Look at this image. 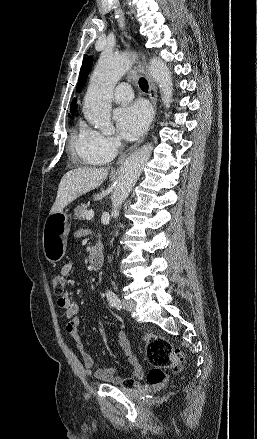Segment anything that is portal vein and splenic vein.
<instances>
[{"instance_id": "18ae733b", "label": "portal vein and splenic vein", "mask_w": 257, "mask_h": 439, "mask_svg": "<svg viewBox=\"0 0 257 439\" xmlns=\"http://www.w3.org/2000/svg\"><path fill=\"white\" fill-rule=\"evenodd\" d=\"M93 217H94V211H93V210H89V211L86 213V219H87V220H91Z\"/></svg>"}]
</instances>
